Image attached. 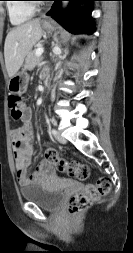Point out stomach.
Returning <instances> with one entry per match:
<instances>
[{
	"instance_id": "obj_1",
	"label": "stomach",
	"mask_w": 133,
	"mask_h": 253,
	"mask_svg": "<svg viewBox=\"0 0 133 253\" xmlns=\"http://www.w3.org/2000/svg\"><path fill=\"white\" fill-rule=\"evenodd\" d=\"M43 28L46 31H53L55 28L52 23L44 21L42 23ZM29 76L25 71L17 72L12 78H10L8 88L11 93L23 94L27 90Z\"/></svg>"
}]
</instances>
